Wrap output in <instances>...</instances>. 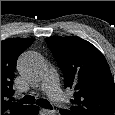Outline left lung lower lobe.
<instances>
[{
    "instance_id": "obj_1",
    "label": "left lung lower lobe",
    "mask_w": 115,
    "mask_h": 115,
    "mask_svg": "<svg viewBox=\"0 0 115 115\" xmlns=\"http://www.w3.org/2000/svg\"><path fill=\"white\" fill-rule=\"evenodd\" d=\"M60 113H61L62 115H70V114L64 112L63 110H60Z\"/></svg>"
}]
</instances>
